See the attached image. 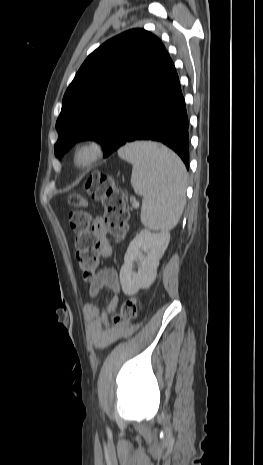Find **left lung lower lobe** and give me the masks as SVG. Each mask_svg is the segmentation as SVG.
Segmentation results:
<instances>
[{"mask_svg": "<svg viewBox=\"0 0 263 465\" xmlns=\"http://www.w3.org/2000/svg\"><path fill=\"white\" fill-rule=\"evenodd\" d=\"M188 119L174 64L165 50L138 82L133 101L121 112L104 157L136 140L174 150L189 168Z\"/></svg>", "mask_w": 263, "mask_h": 465, "instance_id": "1", "label": "left lung lower lobe"}]
</instances>
